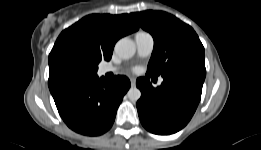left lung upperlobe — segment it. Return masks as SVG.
Segmentation results:
<instances>
[{
	"instance_id": "1",
	"label": "left lung upper lobe",
	"mask_w": 261,
	"mask_h": 150,
	"mask_svg": "<svg viewBox=\"0 0 261 150\" xmlns=\"http://www.w3.org/2000/svg\"><path fill=\"white\" fill-rule=\"evenodd\" d=\"M130 15L154 39L146 74L165 76L181 68L206 71L204 47L189 25L163 11L148 10Z\"/></svg>"
}]
</instances>
